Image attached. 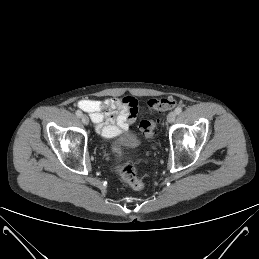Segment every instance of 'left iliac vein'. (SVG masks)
Wrapping results in <instances>:
<instances>
[{"instance_id": "4c4485c4", "label": "left iliac vein", "mask_w": 259, "mask_h": 259, "mask_svg": "<svg viewBox=\"0 0 259 259\" xmlns=\"http://www.w3.org/2000/svg\"><path fill=\"white\" fill-rule=\"evenodd\" d=\"M176 119V113L175 112H170L168 115H167V122L168 123H173Z\"/></svg>"}]
</instances>
